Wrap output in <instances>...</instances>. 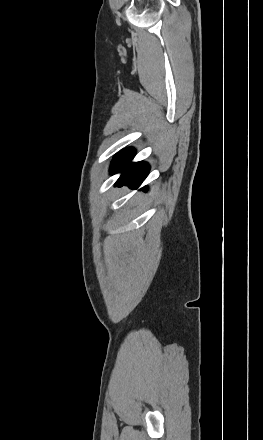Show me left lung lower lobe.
Returning <instances> with one entry per match:
<instances>
[{
    "label": "left lung lower lobe",
    "instance_id": "obj_1",
    "mask_svg": "<svg viewBox=\"0 0 263 440\" xmlns=\"http://www.w3.org/2000/svg\"><path fill=\"white\" fill-rule=\"evenodd\" d=\"M135 151L131 148L122 150L116 154L111 162L110 173L121 172V176L116 182V186L128 185L137 188L141 185L149 173V165L145 162L131 163ZM146 191L147 188H143Z\"/></svg>",
    "mask_w": 263,
    "mask_h": 440
}]
</instances>
